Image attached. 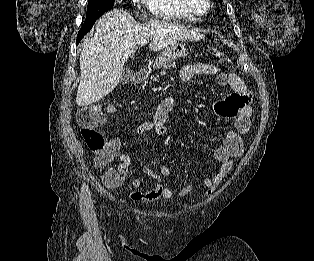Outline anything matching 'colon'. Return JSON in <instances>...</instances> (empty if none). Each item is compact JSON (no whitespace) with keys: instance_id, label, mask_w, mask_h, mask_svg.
Masks as SVG:
<instances>
[{"instance_id":"5ec220e1","label":"colon","mask_w":314,"mask_h":261,"mask_svg":"<svg viewBox=\"0 0 314 261\" xmlns=\"http://www.w3.org/2000/svg\"><path fill=\"white\" fill-rule=\"evenodd\" d=\"M209 54L221 64L229 65L231 62L229 56L217 48H209ZM76 119L87 148L96 156L97 165L106 168L109 159L115 153L116 147L113 140L107 139L99 130L104 120L103 109L98 105L80 107L76 112ZM103 180L109 186H116L123 178L117 172L108 171L105 173Z\"/></svg>"}]
</instances>
